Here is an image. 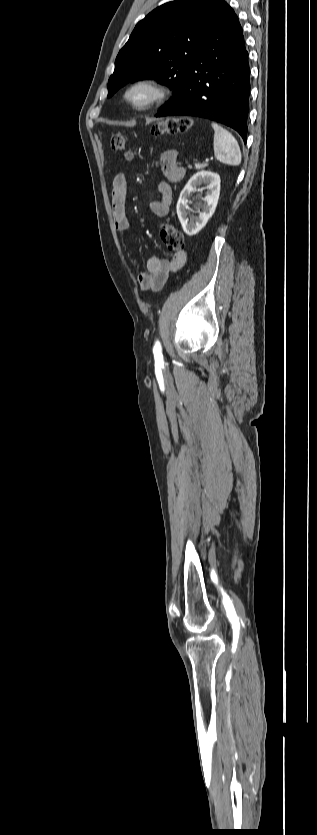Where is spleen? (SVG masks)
I'll return each mask as SVG.
<instances>
[{
	"label": "spleen",
	"instance_id": "obj_1",
	"mask_svg": "<svg viewBox=\"0 0 317 835\" xmlns=\"http://www.w3.org/2000/svg\"><path fill=\"white\" fill-rule=\"evenodd\" d=\"M214 129V155L224 164L237 166L241 163V151L234 136L217 123L211 124Z\"/></svg>",
	"mask_w": 317,
	"mask_h": 835
}]
</instances>
